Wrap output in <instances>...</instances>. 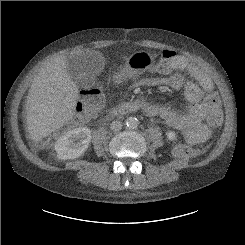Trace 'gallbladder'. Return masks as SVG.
Returning <instances> with one entry per match:
<instances>
[{"instance_id":"1","label":"gallbladder","mask_w":245,"mask_h":245,"mask_svg":"<svg viewBox=\"0 0 245 245\" xmlns=\"http://www.w3.org/2000/svg\"><path fill=\"white\" fill-rule=\"evenodd\" d=\"M84 60L85 55L69 56L67 59L69 74L79 87H82L94 80V75L89 71V69L85 68Z\"/></svg>"}]
</instances>
